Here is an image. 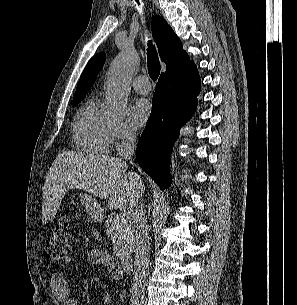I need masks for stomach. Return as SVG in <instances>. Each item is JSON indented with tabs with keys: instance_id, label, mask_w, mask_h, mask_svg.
<instances>
[{
	"instance_id": "0dacf381",
	"label": "stomach",
	"mask_w": 297,
	"mask_h": 305,
	"mask_svg": "<svg viewBox=\"0 0 297 305\" xmlns=\"http://www.w3.org/2000/svg\"><path fill=\"white\" fill-rule=\"evenodd\" d=\"M80 202L85 208L86 212L95 222H101L103 220V209L92 195L87 193L79 194Z\"/></svg>"
}]
</instances>
